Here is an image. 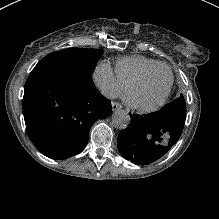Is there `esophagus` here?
I'll use <instances>...</instances> for the list:
<instances>
[{"instance_id": "esophagus-1", "label": "esophagus", "mask_w": 219, "mask_h": 219, "mask_svg": "<svg viewBox=\"0 0 219 219\" xmlns=\"http://www.w3.org/2000/svg\"><path fill=\"white\" fill-rule=\"evenodd\" d=\"M111 105H112V110L113 111L118 110L122 107L121 104L118 103V102H112Z\"/></svg>"}]
</instances>
